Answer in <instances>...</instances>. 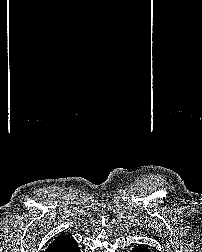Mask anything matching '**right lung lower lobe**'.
<instances>
[{"label": "right lung lower lobe", "instance_id": "obj_1", "mask_svg": "<svg viewBox=\"0 0 202 252\" xmlns=\"http://www.w3.org/2000/svg\"><path fill=\"white\" fill-rule=\"evenodd\" d=\"M68 252H80L78 244L76 243L75 245H73Z\"/></svg>", "mask_w": 202, "mask_h": 252}]
</instances>
